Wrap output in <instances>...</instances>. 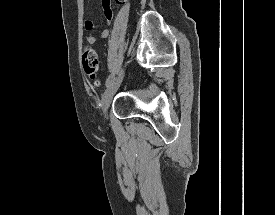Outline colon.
Segmentation results:
<instances>
[{"label":"colon","mask_w":275,"mask_h":215,"mask_svg":"<svg viewBox=\"0 0 275 215\" xmlns=\"http://www.w3.org/2000/svg\"><path fill=\"white\" fill-rule=\"evenodd\" d=\"M117 1L118 3L122 2L121 0H117ZM81 61H82L84 74L90 79L95 80L97 76V70H98L97 50L91 45L84 46L82 51Z\"/></svg>","instance_id":"obj_1"}]
</instances>
